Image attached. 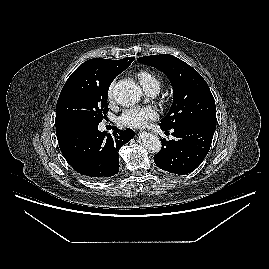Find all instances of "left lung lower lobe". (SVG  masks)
<instances>
[{
    "label": "left lung lower lobe",
    "instance_id": "obj_1",
    "mask_svg": "<svg viewBox=\"0 0 269 269\" xmlns=\"http://www.w3.org/2000/svg\"><path fill=\"white\" fill-rule=\"evenodd\" d=\"M215 129L216 125L212 123H195L173 129L172 135L176 139H162V150L154 156L155 164L180 175L194 171L206 157Z\"/></svg>",
    "mask_w": 269,
    "mask_h": 269
}]
</instances>
